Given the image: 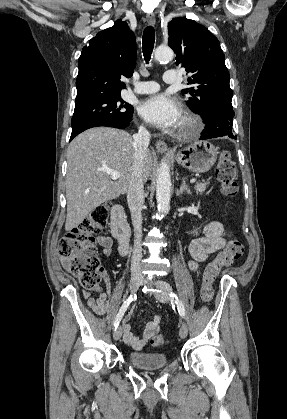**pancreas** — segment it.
Segmentation results:
<instances>
[{
	"instance_id": "1",
	"label": "pancreas",
	"mask_w": 287,
	"mask_h": 419,
	"mask_svg": "<svg viewBox=\"0 0 287 419\" xmlns=\"http://www.w3.org/2000/svg\"><path fill=\"white\" fill-rule=\"evenodd\" d=\"M208 184L209 182H205V181L197 183L195 186L196 192L203 193L206 190V186Z\"/></svg>"
}]
</instances>
